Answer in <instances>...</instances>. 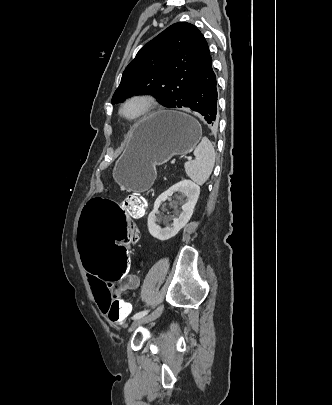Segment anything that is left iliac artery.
I'll use <instances>...</instances> for the list:
<instances>
[{
    "mask_svg": "<svg viewBox=\"0 0 332 405\" xmlns=\"http://www.w3.org/2000/svg\"><path fill=\"white\" fill-rule=\"evenodd\" d=\"M147 313H148V310L138 312L135 315H133L132 319L133 320L139 319L141 317H144Z\"/></svg>",
    "mask_w": 332,
    "mask_h": 405,
    "instance_id": "44dca946",
    "label": "left iliac artery"
}]
</instances>
